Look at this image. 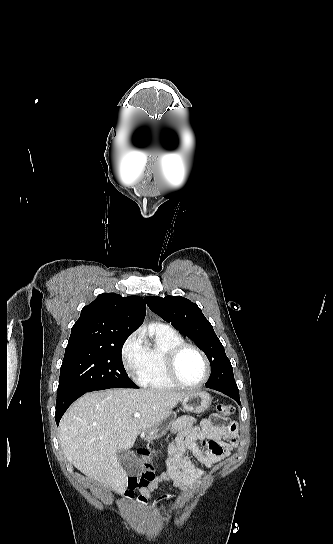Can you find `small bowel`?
Listing matches in <instances>:
<instances>
[{
	"label": "small bowel",
	"instance_id": "small-bowel-1",
	"mask_svg": "<svg viewBox=\"0 0 333 544\" xmlns=\"http://www.w3.org/2000/svg\"><path fill=\"white\" fill-rule=\"evenodd\" d=\"M172 432L174 437L168 448L167 471L141 490V495L137 498L140 506L147 502L150 494L163 481H170L176 487L187 489L205 476L206 471L195 466L187 451H190L200 464L211 468L229 457L237 445L236 425L216 414L203 418L200 426L194 425L191 416H183L174 423ZM174 500L172 497H166L158 499L156 503L162 507Z\"/></svg>",
	"mask_w": 333,
	"mask_h": 544
}]
</instances>
